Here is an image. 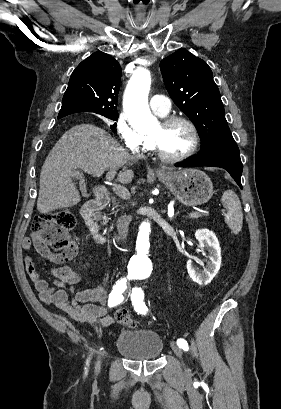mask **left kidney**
<instances>
[{
	"label": "left kidney",
	"instance_id": "1",
	"mask_svg": "<svg viewBox=\"0 0 281 409\" xmlns=\"http://www.w3.org/2000/svg\"><path fill=\"white\" fill-rule=\"evenodd\" d=\"M195 237L197 241H199V249H197V251L207 249L209 261H207V267H204L203 271L197 269L193 261H187L188 275L194 283H198V285H208V283H211L213 277L217 275L221 267L219 241L215 233L209 231V229H198L195 233Z\"/></svg>",
	"mask_w": 281,
	"mask_h": 409
}]
</instances>
